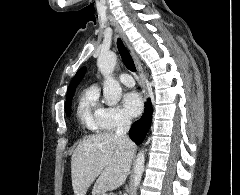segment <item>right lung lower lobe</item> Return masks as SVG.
Returning <instances> with one entry per match:
<instances>
[{"label": "right lung lower lobe", "instance_id": "1", "mask_svg": "<svg viewBox=\"0 0 240 195\" xmlns=\"http://www.w3.org/2000/svg\"><path fill=\"white\" fill-rule=\"evenodd\" d=\"M152 112V105L150 100H148L145 104L144 114L130 128L129 136L138 145L144 140L151 125Z\"/></svg>", "mask_w": 240, "mask_h": 195}]
</instances>
